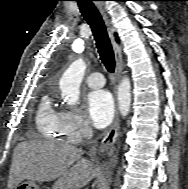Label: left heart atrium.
<instances>
[{
  "label": "left heart atrium",
  "mask_w": 188,
  "mask_h": 189,
  "mask_svg": "<svg viewBox=\"0 0 188 189\" xmlns=\"http://www.w3.org/2000/svg\"><path fill=\"white\" fill-rule=\"evenodd\" d=\"M87 110L94 126L98 128L107 126L114 114L112 95L106 90L91 92L87 98Z\"/></svg>",
  "instance_id": "1"
}]
</instances>
